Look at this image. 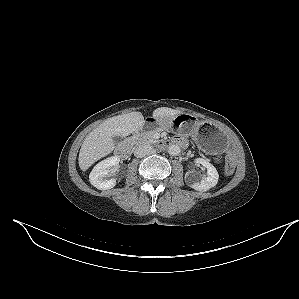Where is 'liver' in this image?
Returning <instances> with one entry per match:
<instances>
[{
	"label": "liver",
	"mask_w": 299,
	"mask_h": 299,
	"mask_svg": "<svg viewBox=\"0 0 299 299\" xmlns=\"http://www.w3.org/2000/svg\"><path fill=\"white\" fill-rule=\"evenodd\" d=\"M181 114L179 110L161 107L153 111L154 118H171ZM145 121L141 112H130L111 117L101 123L84 139L79 152V167L86 171L96 161L110 154L115 143L113 136L126 137L143 128Z\"/></svg>",
	"instance_id": "obj_1"
}]
</instances>
